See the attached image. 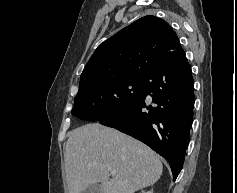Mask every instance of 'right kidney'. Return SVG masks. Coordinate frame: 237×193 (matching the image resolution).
<instances>
[{"instance_id":"right-kidney-1","label":"right kidney","mask_w":237,"mask_h":193,"mask_svg":"<svg viewBox=\"0 0 237 193\" xmlns=\"http://www.w3.org/2000/svg\"><path fill=\"white\" fill-rule=\"evenodd\" d=\"M142 193H153V191H147V192L143 191Z\"/></svg>"}]
</instances>
